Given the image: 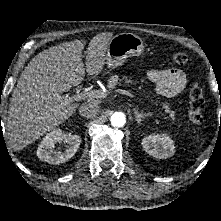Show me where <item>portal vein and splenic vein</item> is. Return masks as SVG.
Here are the masks:
<instances>
[{
	"instance_id": "1",
	"label": "portal vein and splenic vein",
	"mask_w": 221,
	"mask_h": 221,
	"mask_svg": "<svg viewBox=\"0 0 221 221\" xmlns=\"http://www.w3.org/2000/svg\"><path fill=\"white\" fill-rule=\"evenodd\" d=\"M114 91L117 92V93L129 96L131 98H135V96L131 92H129L125 89H119L118 88V89H114ZM105 96H106V94L104 92L99 91V90H95V91L78 92L74 96L65 95V96H63V99L66 103H71V102H74V101H80V100L92 99V98H102V97H105Z\"/></svg>"
}]
</instances>
